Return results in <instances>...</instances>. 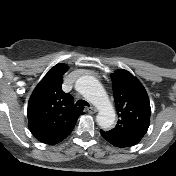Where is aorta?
Returning a JSON list of instances; mask_svg holds the SVG:
<instances>
[{"label": "aorta", "mask_w": 176, "mask_h": 176, "mask_svg": "<svg viewBox=\"0 0 176 176\" xmlns=\"http://www.w3.org/2000/svg\"><path fill=\"white\" fill-rule=\"evenodd\" d=\"M82 94L99 110L96 117L97 124L102 129H109L115 121V110L99 81L91 76L84 77Z\"/></svg>", "instance_id": "1"}]
</instances>
